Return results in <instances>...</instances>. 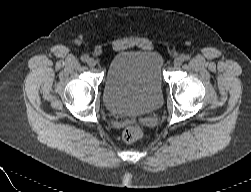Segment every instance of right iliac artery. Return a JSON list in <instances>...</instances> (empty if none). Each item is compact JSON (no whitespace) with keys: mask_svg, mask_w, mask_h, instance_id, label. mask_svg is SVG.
<instances>
[{"mask_svg":"<svg viewBox=\"0 0 251 192\" xmlns=\"http://www.w3.org/2000/svg\"><path fill=\"white\" fill-rule=\"evenodd\" d=\"M88 58H89L88 55H83L81 56V61L87 62Z\"/></svg>","mask_w":251,"mask_h":192,"instance_id":"82829eb1","label":"right iliac artery"}]
</instances>
